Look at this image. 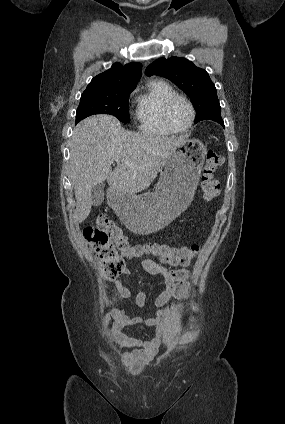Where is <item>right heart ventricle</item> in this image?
<instances>
[{"label":"right heart ventricle","instance_id":"1","mask_svg":"<svg viewBox=\"0 0 285 424\" xmlns=\"http://www.w3.org/2000/svg\"><path fill=\"white\" fill-rule=\"evenodd\" d=\"M176 94L167 82L154 80L136 96L135 118L142 132L160 137L172 134L163 122L162 113L166 102Z\"/></svg>","mask_w":285,"mask_h":424}]
</instances>
